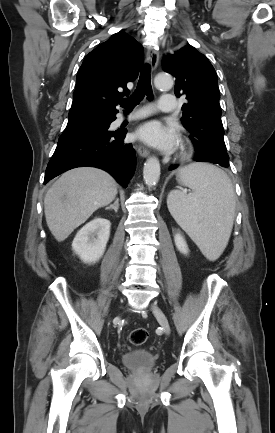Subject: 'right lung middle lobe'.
<instances>
[{
	"label": "right lung middle lobe",
	"instance_id": "1",
	"mask_svg": "<svg viewBox=\"0 0 275 433\" xmlns=\"http://www.w3.org/2000/svg\"><path fill=\"white\" fill-rule=\"evenodd\" d=\"M111 116L87 115L69 119L64 131L73 130L81 127H109Z\"/></svg>",
	"mask_w": 275,
	"mask_h": 433
}]
</instances>
